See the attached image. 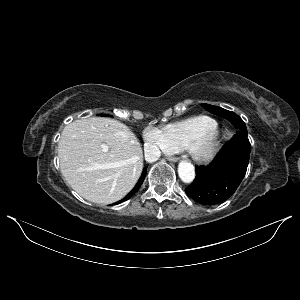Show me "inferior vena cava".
Returning a JSON list of instances; mask_svg holds the SVG:
<instances>
[{"label": "inferior vena cava", "instance_id": "obj_1", "mask_svg": "<svg viewBox=\"0 0 300 300\" xmlns=\"http://www.w3.org/2000/svg\"><path fill=\"white\" fill-rule=\"evenodd\" d=\"M161 155L158 148L151 146L145 149V157L147 161H156Z\"/></svg>", "mask_w": 300, "mask_h": 300}]
</instances>
